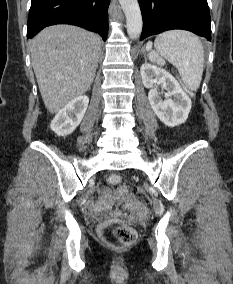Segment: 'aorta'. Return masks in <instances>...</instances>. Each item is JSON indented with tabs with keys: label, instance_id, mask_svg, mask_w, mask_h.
Returning a JSON list of instances; mask_svg holds the SVG:
<instances>
[{
	"label": "aorta",
	"instance_id": "aorta-1",
	"mask_svg": "<svg viewBox=\"0 0 233 284\" xmlns=\"http://www.w3.org/2000/svg\"><path fill=\"white\" fill-rule=\"evenodd\" d=\"M126 17L128 36L135 40L142 32V15L138 0H119Z\"/></svg>",
	"mask_w": 233,
	"mask_h": 284
}]
</instances>
